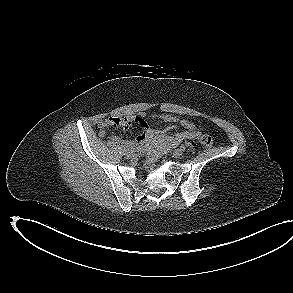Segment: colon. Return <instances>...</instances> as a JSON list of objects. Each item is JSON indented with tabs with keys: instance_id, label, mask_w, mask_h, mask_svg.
<instances>
[{
	"instance_id": "1",
	"label": "colon",
	"mask_w": 293,
	"mask_h": 293,
	"mask_svg": "<svg viewBox=\"0 0 293 293\" xmlns=\"http://www.w3.org/2000/svg\"><path fill=\"white\" fill-rule=\"evenodd\" d=\"M200 141L202 145H204L205 147H211L213 145V139L208 134L202 135ZM173 147L174 146L172 144L167 143L162 146L151 149L148 152V158L146 163L147 168L151 167L154 164V162L157 161L160 157L169 153Z\"/></svg>"
}]
</instances>
